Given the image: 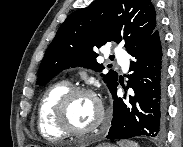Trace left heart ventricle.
I'll return each instance as SVG.
<instances>
[{"instance_id": "1", "label": "left heart ventricle", "mask_w": 183, "mask_h": 147, "mask_svg": "<svg viewBox=\"0 0 183 147\" xmlns=\"http://www.w3.org/2000/svg\"><path fill=\"white\" fill-rule=\"evenodd\" d=\"M97 117L98 107L90 96L79 95L71 100L68 107V118L73 128L87 129L94 124Z\"/></svg>"}]
</instances>
